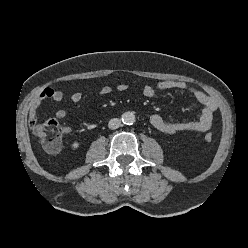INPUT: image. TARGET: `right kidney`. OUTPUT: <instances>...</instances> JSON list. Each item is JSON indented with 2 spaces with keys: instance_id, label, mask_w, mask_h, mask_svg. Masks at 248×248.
Returning <instances> with one entry per match:
<instances>
[{
  "instance_id": "right-kidney-1",
  "label": "right kidney",
  "mask_w": 248,
  "mask_h": 248,
  "mask_svg": "<svg viewBox=\"0 0 248 248\" xmlns=\"http://www.w3.org/2000/svg\"><path fill=\"white\" fill-rule=\"evenodd\" d=\"M79 147V143L78 142H74L72 145H71V148L72 149H77Z\"/></svg>"
}]
</instances>
